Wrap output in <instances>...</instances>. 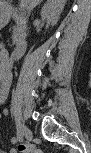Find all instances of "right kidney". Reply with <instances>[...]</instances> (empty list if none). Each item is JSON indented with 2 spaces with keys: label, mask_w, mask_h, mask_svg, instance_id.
<instances>
[{
  "label": "right kidney",
  "mask_w": 91,
  "mask_h": 153,
  "mask_svg": "<svg viewBox=\"0 0 91 153\" xmlns=\"http://www.w3.org/2000/svg\"><path fill=\"white\" fill-rule=\"evenodd\" d=\"M57 2V0H48L41 10V18L52 26L57 23L64 7V5Z\"/></svg>",
  "instance_id": "1"
}]
</instances>
